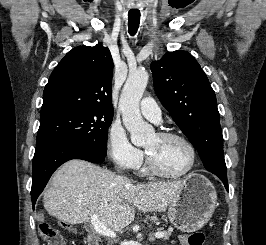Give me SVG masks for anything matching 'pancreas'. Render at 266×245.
I'll list each match as a JSON object with an SVG mask.
<instances>
[{
	"label": "pancreas",
	"instance_id": "cf45deb5",
	"mask_svg": "<svg viewBox=\"0 0 266 245\" xmlns=\"http://www.w3.org/2000/svg\"><path fill=\"white\" fill-rule=\"evenodd\" d=\"M157 233H164L163 241H167L171 235V231H163V229H157Z\"/></svg>",
	"mask_w": 266,
	"mask_h": 245
}]
</instances>
